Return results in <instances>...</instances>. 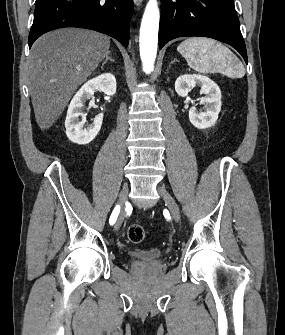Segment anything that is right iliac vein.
<instances>
[{
  "label": "right iliac vein",
  "instance_id": "obj_1",
  "mask_svg": "<svg viewBox=\"0 0 285 335\" xmlns=\"http://www.w3.org/2000/svg\"><path fill=\"white\" fill-rule=\"evenodd\" d=\"M128 186L125 184L119 194V202H120V206H121V212H120V215L118 216L117 218V221H116V225H115V228L116 230H119L123 220H124V204L126 202V199H127V195H128Z\"/></svg>",
  "mask_w": 285,
  "mask_h": 335
}]
</instances>
